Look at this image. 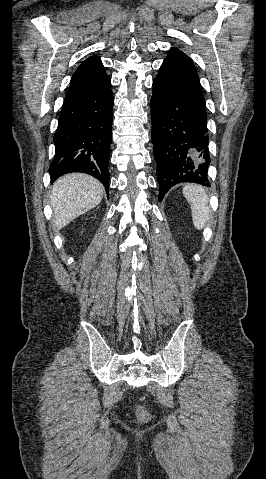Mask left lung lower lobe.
<instances>
[{
  "mask_svg": "<svg viewBox=\"0 0 266 479\" xmlns=\"http://www.w3.org/2000/svg\"><path fill=\"white\" fill-rule=\"evenodd\" d=\"M151 123L159 201L181 182L210 186L207 115L199 78L164 61L153 82Z\"/></svg>",
  "mask_w": 266,
  "mask_h": 479,
  "instance_id": "0a47b994",
  "label": "left lung lower lobe"
}]
</instances>
